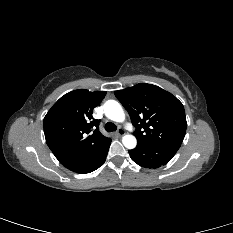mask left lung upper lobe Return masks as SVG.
Returning a JSON list of instances; mask_svg holds the SVG:
<instances>
[{
  "label": "left lung upper lobe",
  "mask_w": 233,
  "mask_h": 233,
  "mask_svg": "<svg viewBox=\"0 0 233 233\" xmlns=\"http://www.w3.org/2000/svg\"><path fill=\"white\" fill-rule=\"evenodd\" d=\"M115 96L128 111L138 143L180 147L187 128L182 103L162 88L141 83Z\"/></svg>",
  "instance_id": "5c2ea615"
}]
</instances>
